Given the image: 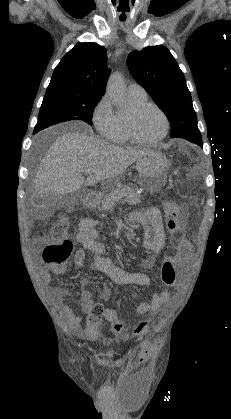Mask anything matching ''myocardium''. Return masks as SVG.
Segmentation results:
<instances>
[{
  "label": "myocardium",
  "instance_id": "f54148a6",
  "mask_svg": "<svg viewBox=\"0 0 231 419\" xmlns=\"http://www.w3.org/2000/svg\"><path fill=\"white\" fill-rule=\"evenodd\" d=\"M147 109H154L156 111H158L161 116L163 117L164 123H165V128L164 131L162 132V134L160 136H158L157 138L154 139H144L142 138L136 129V118L138 117V115H140L142 112H144ZM170 130V120L168 118V115L166 114V112L159 107L158 105L154 104V103H144L141 105H138L136 107H134L131 112L128 115V131H129V135L131 137V139L139 144L142 145H154L159 143L160 141H162L169 133Z\"/></svg>",
  "mask_w": 231,
  "mask_h": 419
}]
</instances>
